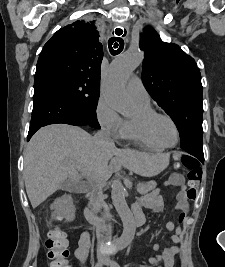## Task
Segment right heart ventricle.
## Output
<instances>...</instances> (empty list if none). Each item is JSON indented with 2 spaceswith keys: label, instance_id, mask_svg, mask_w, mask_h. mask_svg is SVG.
I'll return each instance as SVG.
<instances>
[{
  "label": "right heart ventricle",
  "instance_id": "right-heart-ventricle-1",
  "mask_svg": "<svg viewBox=\"0 0 225 267\" xmlns=\"http://www.w3.org/2000/svg\"><path fill=\"white\" fill-rule=\"evenodd\" d=\"M135 113L131 116L126 117L123 120V128L121 135L125 138L130 139L137 144L153 149V150H162L149 136L145 120L148 115L154 112V108L148 101H137L133 100Z\"/></svg>",
  "mask_w": 225,
  "mask_h": 267
}]
</instances>
